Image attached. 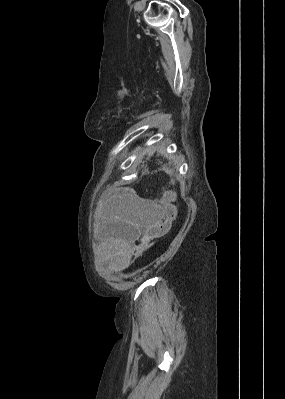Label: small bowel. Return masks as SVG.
Masks as SVG:
<instances>
[{"label":"small bowel","mask_w":285,"mask_h":399,"mask_svg":"<svg viewBox=\"0 0 285 399\" xmlns=\"http://www.w3.org/2000/svg\"><path fill=\"white\" fill-rule=\"evenodd\" d=\"M158 203L164 205L166 202L142 198L135 199V207L130 211L129 219L126 223L130 228L129 241L121 247L120 262L128 263L130 261L134 256L136 244L149 236L159 222L160 214L155 211Z\"/></svg>","instance_id":"small-bowel-1"}]
</instances>
